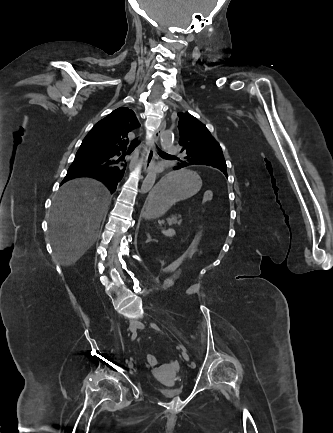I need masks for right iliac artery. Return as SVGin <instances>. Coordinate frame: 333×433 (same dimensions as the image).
Segmentation results:
<instances>
[{
    "label": "right iliac artery",
    "mask_w": 333,
    "mask_h": 433,
    "mask_svg": "<svg viewBox=\"0 0 333 433\" xmlns=\"http://www.w3.org/2000/svg\"><path fill=\"white\" fill-rule=\"evenodd\" d=\"M136 337H137V332H136V330L132 333V337H131V340L133 341V340H135L136 339ZM126 363L129 365V361L128 360H126Z\"/></svg>",
    "instance_id": "obj_1"
}]
</instances>
